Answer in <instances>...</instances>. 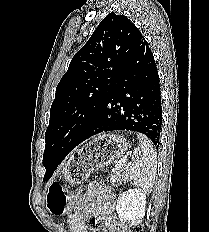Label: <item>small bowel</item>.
Segmentation results:
<instances>
[{"label": "small bowel", "mask_w": 209, "mask_h": 232, "mask_svg": "<svg viewBox=\"0 0 209 232\" xmlns=\"http://www.w3.org/2000/svg\"><path fill=\"white\" fill-rule=\"evenodd\" d=\"M114 209L115 196L110 189L97 182L90 183L68 215L71 232H97L99 224L109 232H131L113 217Z\"/></svg>", "instance_id": "obj_1"}]
</instances>
